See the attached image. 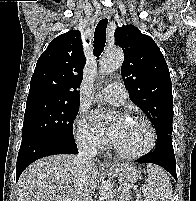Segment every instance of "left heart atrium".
<instances>
[{"mask_svg":"<svg viewBox=\"0 0 196 201\" xmlns=\"http://www.w3.org/2000/svg\"><path fill=\"white\" fill-rule=\"evenodd\" d=\"M92 119L97 124L98 128L106 133L108 138L114 142L121 128L125 124L126 120L124 118H119L111 127L104 129L101 124V115L96 112L93 114Z\"/></svg>","mask_w":196,"mask_h":201,"instance_id":"obj_1","label":"left heart atrium"}]
</instances>
